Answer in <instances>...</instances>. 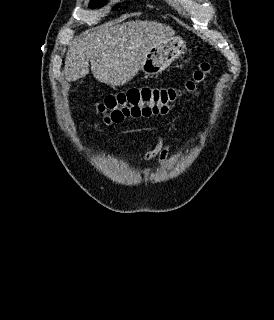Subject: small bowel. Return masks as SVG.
<instances>
[{
    "instance_id": "c3829d8e",
    "label": "small bowel",
    "mask_w": 274,
    "mask_h": 320,
    "mask_svg": "<svg viewBox=\"0 0 274 320\" xmlns=\"http://www.w3.org/2000/svg\"><path fill=\"white\" fill-rule=\"evenodd\" d=\"M170 151V146L164 142L161 134H157V142L153 149L146 152L143 156L144 161H150L157 158L161 166L167 165V159Z\"/></svg>"
}]
</instances>
